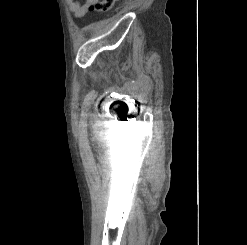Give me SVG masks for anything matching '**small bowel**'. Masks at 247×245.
Masks as SVG:
<instances>
[{
	"instance_id": "1",
	"label": "small bowel",
	"mask_w": 247,
	"mask_h": 245,
	"mask_svg": "<svg viewBox=\"0 0 247 245\" xmlns=\"http://www.w3.org/2000/svg\"><path fill=\"white\" fill-rule=\"evenodd\" d=\"M65 2L75 17L81 18L88 12L90 5L94 0H86L84 3H80L76 0H65Z\"/></svg>"
}]
</instances>
